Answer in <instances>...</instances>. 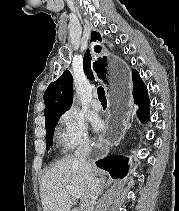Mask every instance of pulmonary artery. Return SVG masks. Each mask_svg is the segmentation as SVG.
I'll use <instances>...</instances> for the list:
<instances>
[{
  "label": "pulmonary artery",
  "instance_id": "pulmonary-artery-1",
  "mask_svg": "<svg viewBox=\"0 0 179 211\" xmlns=\"http://www.w3.org/2000/svg\"><path fill=\"white\" fill-rule=\"evenodd\" d=\"M91 107H92L94 110H96V111H99V110H101V108H102V104H101V102L99 101V99H98V97H97L96 94L94 95V98H93L92 101H91Z\"/></svg>",
  "mask_w": 179,
  "mask_h": 211
}]
</instances>
